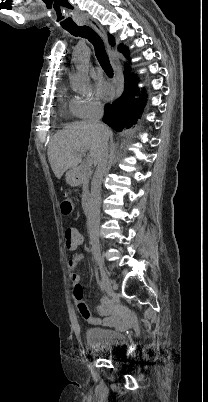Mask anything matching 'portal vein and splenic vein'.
Instances as JSON below:
<instances>
[{
  "label": "portal vein and splenic vein",
  "instance_id": "18ae733b",
  "mask_svg": "<svg viewBox=\"0 0 208 402\" xmlns=\"http://www.w3.org/2000/svg\"><path fill=\"white\" fill-rule=\"evenodd\" d=\"M84 152H87V150H83V152H81V154H75L76 160H79V162H81L82 158L85 162V166L86 168H88V170H90V166H92V164H94L92 158H88L87 156H85Z\"/></svg>",
  "mask_w": 208,
  "mask_h": 402
}]
</instances>
